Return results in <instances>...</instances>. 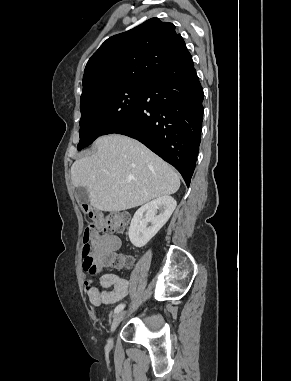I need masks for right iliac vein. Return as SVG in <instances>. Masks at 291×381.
<instances>
[{
    "mask_svg": "<svg viewBox=\"0 0 291 381\" xmlns=\"http://www.w3.org/2000/svg\"><path fill=\"white\" fill-rule=\"evenodd\" d=\"M125 314H126L125 311H120V312H118V313L114 316V319H113L112 324H111V327H110V336L113 335V333L115 332L116 328L118 327V325L120 324V322L123 320ZM109 342H110V343L112 342L111 337H110V339H109Z\"/></svg>",
    "mask_w": 291,
    "mask_h": 381,
    "instance_id": "1",
    "label": "right iliac vein"
}]
</instances>
